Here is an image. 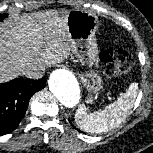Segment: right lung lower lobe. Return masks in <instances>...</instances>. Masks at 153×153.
Returning a JSON list of instances; mask_svg holds the SVG:
<instances>
[{
  "instance_id": "right-lung-lower-lobe-1",
  "label": "right lung lower lobe",
  "mask_w": 153,
  "mask_h": 153,
  "mask_svg": "<svg viewBox=\"0 0 153 153\" xmlns=\"http://www.w3.org/2000/svg\"><path fill=\"white\" fill-rule=\"evenodd\" d=\"M46 86V78H16L0 84V136L17 128L23 119L32 95Z\"/></svg>"
}]
</instances>
